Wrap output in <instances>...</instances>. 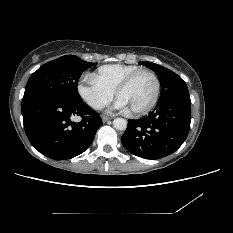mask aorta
<instances>
[{
	"label": "aorta",
	"mask_w": 233,
	"mask_h": 233,
	"mask_svg": "<svg viewBox=\"0 0 233 233\" xmlns=\"http://www.w3.org/2000/svg\"><path fill=\"white\" fill-rule=\"evenodd\" d=\"M113 126L117 130H125L127 128V121L123 118H116L113 121Z\"/></svg>",
	"instance_id": "obj_1"
}]
</instances>
